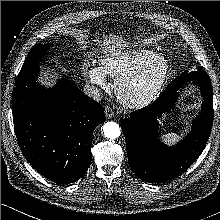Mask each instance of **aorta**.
Returning a JSON list of instances; mask_svg holds the SVG:
<instances>
[{"instance_id": "obj_1", "label": "aorta", "mask_w": 220, "mask_h": 220, "mask_svg": "<svg viewBox=\"0 0 220 220\" xmlns=\"http://www.w3.org/2000/svg\"><path fill=\"white\" fill-rule=\"evenodd\" d=\"M103 132L105 137L109 139H116L120 136L119 125L115 122H107L103 125Z\"/></svg>"}]
</instances>
